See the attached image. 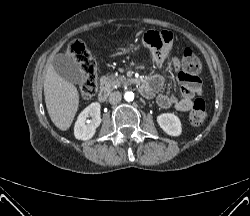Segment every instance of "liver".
Listing matches in <instances>:
<instances>
[{
    "label": "liver",
    "mask_w": 250,
    "mask_h": 216,
    "mask_svg": "<svg viewBox=\"0 0 250 216\" xmlns=\"http://www.w3.org/2000/svg\"><path fill=\"white\" fill-rule=\"evenodd\" d=\"M44 96L48 114L62 131L71 126L79 106L77 88L57 74L49 65L44 80Z\"/></svg>",
    "instance_id": "1"
}]
</instances>
